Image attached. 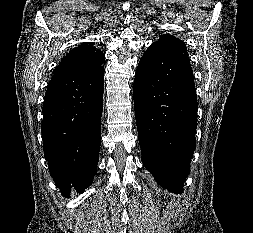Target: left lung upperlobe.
I'll return each instance as SVG.
<instances>
[{
  "label": "left lung upper lobe",
  "mask_w": 253,
  "mask_h": 233,
  "mask_svg": "<svg viewBox=\"0 0 253 233\" xmlns=\"http://www.w3.org/2000/svg\"><path fill=\"white\" fill-rule=\"evenodd\" d=\"M153 44L172 48L188 55L185 43L181 41L179 38H176L175 36L172 35L164 34L159 38L158 42H155Z\"/></svg>",
  "instance_id": "1"
}]
</instances>
